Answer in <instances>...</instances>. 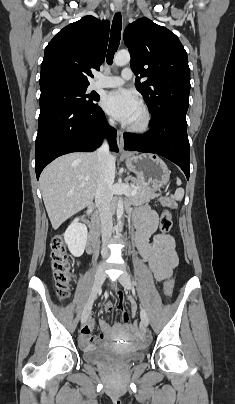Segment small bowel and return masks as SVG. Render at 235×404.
Instances as JSON below:
<instances>
[{
    "mask_svg": "<svg viewBox=\"0 0 235 404\" xmlns=\"http://www.w3.org/2000/svg\"><path fill=\"white\" fill-rule=\"evenodd\" d=\"M135 224L138 226L136 245L143 260L147 263L158 281H162L173 274L174 269L179 263L176 251V242L170 234H157L153 242L149 241L151 235L157 227V216L148 206H143L135 218ZM118 308L123 309V299H118ZM131 315L136 314L137 307L134 302L130 305ZM106 312H112L113 307L110 302L103 304ZM94 327L93 319H89L81 328L80 344L84 348H94L98 345H110L111 341L119 340L121 337L130 338V326L122 323H116L111 326L108 322L101 320L99 327L101 333L97 336L92 335Z\"/></svg>",
    "mask_w": 235,
    "mask_h": 404,
    "instance_id": "small-bowel-1",
    "label": "small bowel"
}]
</instances>
